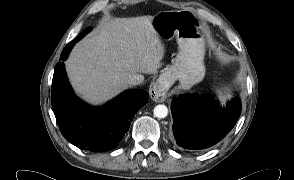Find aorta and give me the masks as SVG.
Segmentation results:
<instances>
[{
	"label": "aorta",
	"instance_id": "762f6f07",
	"mask_svg": "<svg viewBox=\"0 0 294 180\" xmlns=\"http://www.w3.org/2000/svg\"><path fill=\"white\" fill-rule=\"evenodd\" d=\"M153 113L157 118H165L168 115V108L163 104H159L155 106Z\"/></svg>",
	"mask_w": 294,
	"mask_h": 180
}]
</instances>
